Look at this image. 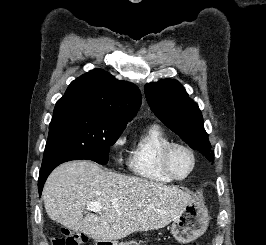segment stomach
Listing matches in <instances>:
<instances>
[{"label":"stomach","mask_w":266,"mask_h":245,"mask_svg":"<svg viewBox=\"0 0 266 245\" xmlns=\"http://www.w3.org/2000/svg\"><path fill=\"white\" fill-rule=\"evenodd\" d=\"M208 209L199 203H189L183 213L173 219L171 233L178 243H190L208 229ZM104 245H118L117 241H105Z\"/></svg>","instance_id":"stomach-1"}]
</instances>
